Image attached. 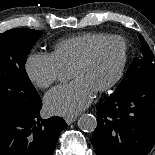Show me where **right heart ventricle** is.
Wrapping results in <instances>:
<instances>
[{
    "mask_svg": "<svg viewBox=\"0 0 155 155\" xmlns=\"http://www.w3.org/2000/svg\"><path fill=\"white\" fill-rule=\"evenodd\" d=\"M106 35L101 32L87 31L61 39L54 44L51 55L62 68L69 69L93 43Z\"/></svg>",
    "mask_w": 155,
    "mask_h": 155,
    "instance_id": "1",
    "label": "right heart ventricle"
}]
</instances>
